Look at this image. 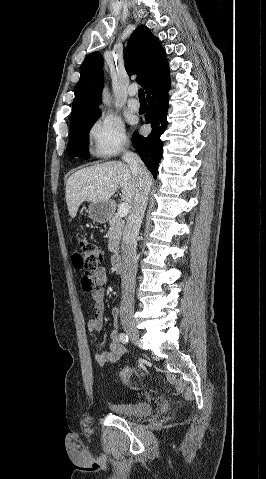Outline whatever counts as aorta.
I'll return each instance as SVG.
<instances>
[{"mask_svg":"<svg viewBox=\"0 0 266 479\" xmlns=\"http://www.w3.org/2000/svg\"><path fill=\"white\" fill-rule=\"evenodd\" d=\"M106 98L108 97V93H105Z\"/></svg>","mask_w":266,"mask_h":479,"instance_id":"762f6f07","label":"aorta"}]
</instances>
